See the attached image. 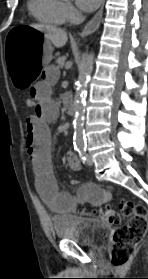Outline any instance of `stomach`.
Segmentation results:
<instances>
[{"label": "stomach", "mask_w": 148, "mask_h": 279, "mask_svg": "<svg viewBox=\"0 0 148 279\" xmlns=\"http://www.w3.org/2000/svg\"><path fill=\"white\" fill-rule=\"evenodd\" d=\"M5 34L4 44L7 79H12L14 91H31L35 78H39L43 66L52 58V46L44 33L35 29L34 25H11Z\"/></svg>", "instance_id": "0dacf381"}]
</instances>
